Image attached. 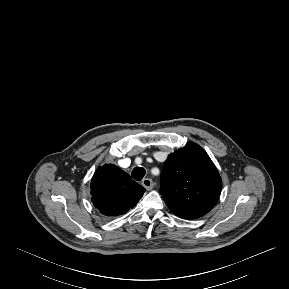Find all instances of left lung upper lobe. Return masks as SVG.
Instances as JSON below:
<instances>
[{"instance_id":"obj_1","label":"left lung upper lobe","mask_w":289,"mask_h":289,"mask_svg":"<svg viewBox=\"0 0 289 289\" xmlns=\"http://www.w3.org/2000/svg\"><path fill=\"white\" fill-rule=\"evenodd\" d=\"M160 182V193L168 208L183 219H196L208 213L222 189L215 165L207 153L192 142L168 156Z\"/></svg>"}]
</instances>
